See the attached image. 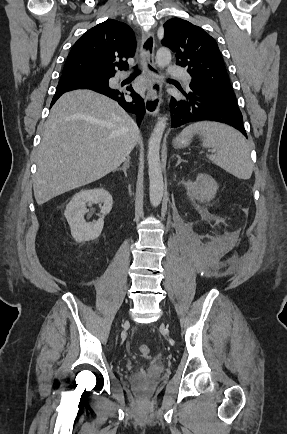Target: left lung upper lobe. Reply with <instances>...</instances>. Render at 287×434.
<instances>
[{
	"mask_svg": "<svg viewBox=\"0 0 287 434\" xmlns=\"http://www.w3.org/2000/svg\"><path fill=\"white\" fill-rule=\"evenodd\" d=\"M162 44L176 56V64L186 67L193 84L234 94L216 41L202 28L173 18L164 24Z\"/></svg>",
	"mask_w": 287,
	"mask_h": 434,
	"instance_id": "left-lung-upper-lobe-1",
	"label": "left lung upper lobe"
}]
</instances>
